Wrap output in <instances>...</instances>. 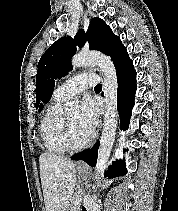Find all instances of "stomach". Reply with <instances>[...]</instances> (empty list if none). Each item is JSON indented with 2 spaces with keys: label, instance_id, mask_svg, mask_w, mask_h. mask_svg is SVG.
<instances>
[{
  "label": "stomach",
  "instance_id": "0dacf381",
  "mask_svg": "<svg viewBox=\"0 0 178 211\" xmlns=\"http://www.w3.org/2000/svg\"><path fill=\"white\" fill-rule=\"evenodd\" d=\"M79 173H80L83 177H87V176H88V171H86V170H79Z\"/></svg>",
  "mask_w": 178,
  "mask_h": 211
}]
</instances>
